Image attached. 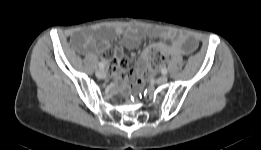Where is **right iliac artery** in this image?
Segmentation results:
<instances>
[{
  "label": "right iliac artery",
  "instance_id": "1",
  "mask_svg": "<svg viewBox=\"0 0 261 150\" xmlns=\"http://www.w3.org/2000/svg\"><path fill=\"white\" fill-rule=\"evenodd\" d=\"M99 67H100L101 69H103V68L105 67L104 63L100 62V63H99Z\"/></svg>",
  "mask_w": 261,
  "mask_h": 150
}]
</instances>
